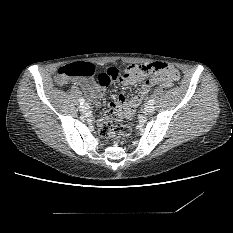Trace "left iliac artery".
Segmentation results:
<instances>
[{
  "label": "left iliac artery",
  "mask_w": 233,
  "mask_h": 233,
  "mask_svg": "<svg viewBox=\"0 0 233 233\" xmlns=\"http://www.w3.org/2000/svg\"><path fill=\"white\" fill-rule=\"evenodd\" d=\"M148 104H149V105H153V104H154V100H153V99H150V100L148 101Z\"/></svg>",
  "instance_id": "44dca946"
}]
</instances>
